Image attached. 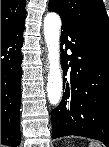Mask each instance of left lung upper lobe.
<instances>
[{
    "label": "left lung upper lobe",
    "instance_id": "5c2ea615",
    "mask_svg": "<svg viewBox=\"0 0 109 147\" xmlns=\"http://www.w3.org/2000/svg\"><path fill=\"white\" fill-rule=\"evenodd\" d=\"M49 10L57 12L63 22L109 42V17L102 0H50ZM71 84L79 90L78 75Z\"/></svg>",
    "mask_w": 109,
    "mask_h": 147
}]
</instances>
